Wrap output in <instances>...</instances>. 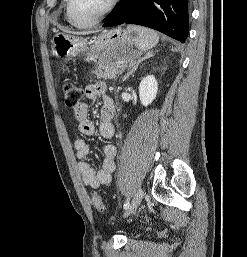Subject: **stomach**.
<instances>
[{"instance_id":"1","label":"stomach","mask_w":247,"mask_h":257,"mask_svg":"<svg viewBox=\"0 0 247 257\" xmlns=\"http://www.w3.org/2000/svg\"><path fill=\"white\" fill-rule=\"evenodd\" d=\"M134 37L133 33L122 28L104 31L90 42L83 38L56 33L52 39L53 52L64 60L85 53L88 60L127 67L135 63L140 56V52L133 48Z\"/></svg>"}]
</instances>
